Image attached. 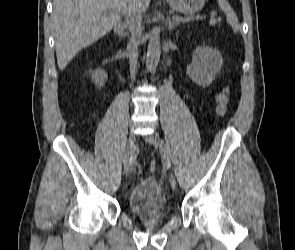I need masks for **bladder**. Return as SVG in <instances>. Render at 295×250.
<instances>
[{
	"label": "bladder",
	"mask_w": 295,
	"mask_h": 250,
	"mask_svg": "<svg viewBox=\"0 0 295 250\" xmlns=\"http://www.w3.org/2000/svg\"><path fill=\"white\" fill-rule=\"evenodd\" d=\"M128 206L138 219L156 220L163 217L167 202L164 190L157 179L149 177L140 181L129 195Z\"/></svg>",
	"instance_id": "1"
}]
</instances>
